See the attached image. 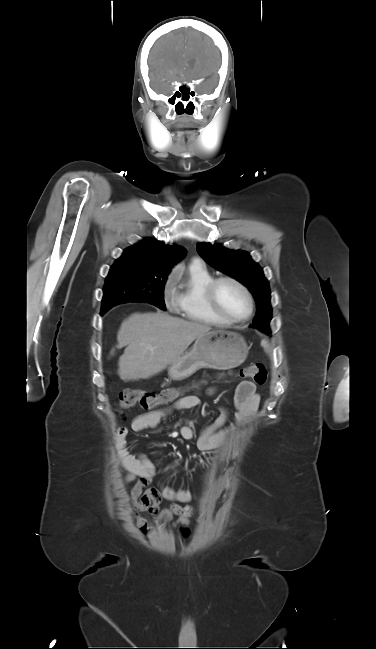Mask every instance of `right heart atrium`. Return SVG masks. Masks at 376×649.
Wrapping results in <instances>:
<instances>
[{"mask_svg":"<svg viewBox=\"0 0 376 649\" xmlns=\"http://www.w3.org/2000/svg\"><path fill=\"white\" fill-rule=\"evenodd\" d=\"M174 280L173 274L168 275L163 286V300L165 305L172 309L175 306V295L172 290V283Z\"/></svg>","mask_w":376,"mask_h":649,"instance_id":"1","label":"right heart atrium"}]
</instances>
